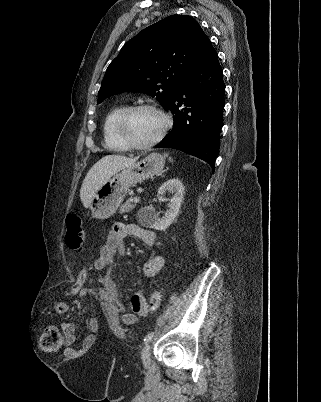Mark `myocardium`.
Segmentation results:
<instances>
[{
  "mask_svg": "<svg viewBox=\"0 0 321 402\" xmlns=\"http://www.w3.org/2000/svg\"><path fill=\"white\" fill-rule=\"evenodd\" d=\"M141 110H151L157 112L163 118L164 122L163 128L161 132L158 134V136L145 144L136 143L133 139H131V137L128 135L127 132V123L130 116L133 113ZM171 124H172L171 117L161 107L149 103H141L126 107L124 111L121 113L120 117L118 118L116 128L121 141L129 149L142 151V150H148L154 147L156 144H158L165 137V135L171 128Z\"/></svg>",
  "mask_w": 321,
  "mask_h": 402,
  "instance_id": "myocardium-1",
  "label": "myocardium"
}]
</instances>
